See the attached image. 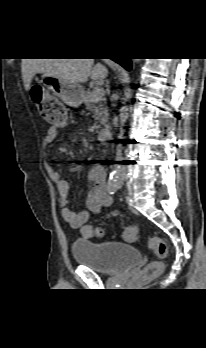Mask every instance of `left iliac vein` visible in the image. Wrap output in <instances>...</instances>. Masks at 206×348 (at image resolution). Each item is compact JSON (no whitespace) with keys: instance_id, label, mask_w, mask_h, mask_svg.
I'll return each instance as SVG.
<instances>
[{"instance_id":"obj_1","label":"left iliac vein","mask_w":206,"mask_h":348,"mask_svg":"<svg viewBox=\"0 0 206 348\" xmlns=\"http://www.w3.org/2000/svg\"><path fill=\"white\" fill-rule=\"evenodd\" d=\"M123 186V179H121L118 183H117V187L121 188Z\"/></svg>"}]
</instances>
